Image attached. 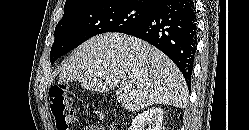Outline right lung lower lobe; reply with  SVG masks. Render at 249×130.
I'll use <instances>...</instances> for the list:
<instances>
[{
	"mask_svg": "<svg viewBox=\"0 0 249 130\" xmlns=\"http://www.w3.org/2000/svg\"><path fill=\"white\" fill-rule=\"evenodd\" d=\"M196 10L191 0H166L143 21L121 33L147 41L165 53L191 86L197 43Z\"/></svg>",
	"mask_w": 249,
	"mask_h": 130,
	"instance_id": "obj_1",
	"label": "right lung lower lobe"
}]
</instances>
